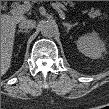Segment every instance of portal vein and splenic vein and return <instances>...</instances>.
<instances>
[{"label": "portal vein and splenic vein", "mask_w": 109, "mask_h": 109, "mask_svg": "<svg viewBox=\"0 0 109 109\" xmlns=\"http://www.w3.org/2000/svg\"><path fill=\"white\" fill-rule=\"evenodd\" d=\"M51 6L53 8H55L59 12L60 17L62 19H64L63 10L67 11V8H65L64 6L58 4L57 2H52ZM31 8H32V4L31 3H26V4L19 5V6L15 7V8H13L10 12L12 14L21 15V14H24L25 12H27L28 10H30Z\"/></svg>", "instance_id": "portal-vein-and-splenic-vein-1"}]
</instances>
